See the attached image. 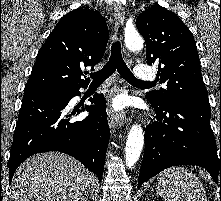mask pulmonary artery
Listing matches in <instances>:
<instances>
[{"label": "pulmonary artery", "instance_id": "obj_1", "mask_svg": "<svg viewBox=\"0 0 221 201\" xmlns=\"http://www.w3.org/2000/svg\"><path fill=\"white\" fill-rule=\"evenodd\" d=\"M134 76L140 81H152L155 79V72L146 65H137L134 68Z\"/></svg>", "mask_w": 221, "mask_h": 201}]
</instances>
